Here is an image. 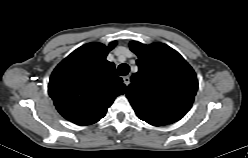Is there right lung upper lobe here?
<instances>
[{
  "mask_svg": "<svg viewBox=\"0 0 248 158\" xmlns=\"http://www.w3.org/2000/svg\"><path fill=\"white\" fill-rule=\"evenodd\" d=\"M115 46L101 43L83 45L66 57L53 71L48 92L59 113L81 125L103 118L114 99L126 92L115 66L106 56Z\"/></svg>",
  "mask_w": 248,
  "mask_h": 158,
  "instance_id": "obj_1",
  "label": "right lung upper lobe"
}]
</instances>
